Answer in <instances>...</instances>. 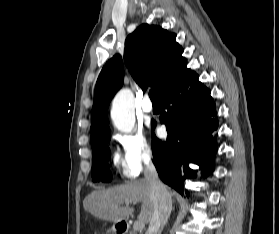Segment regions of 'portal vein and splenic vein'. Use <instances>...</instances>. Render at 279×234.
I'll use <instances>...</instances> for the list:
<instances>
[{
  "mask_svg": "<svg viewBox=\"0 0 279 234\" xmlns=\"http://www.w3.org/2000/svg\"><path fill=\"white\" fill-rule=\"evenodd\" d=\"M128 205V204H127ZM144 228V222L142 221H136L134 224H133V229L136 230V231H139V230H142Z\"/></svg>",
  "mask_w": 279,
  "mask_h": 234,
  "instance_id": "obj_1",
  "label": "portal vein and splenic vein"
}]
</instances>
